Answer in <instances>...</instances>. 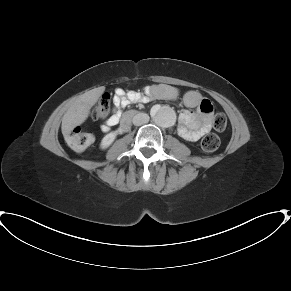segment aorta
Masks as SVG:
<instances>
[{"mask_svg":"<svg viewBox=\"0 0 291 291\" xmlns=\"http://www.w3.org/2000/svg\"><path fill=\"white\" fill-rule=\"evenodd\" d=\"M152 117L160 127H171L175 123V112L168 106L155 107L152 110Z\"/></svg>","mask_w":291,"mask_h":291,"instance_id":"1","label":"aorta"}]
</instances>
